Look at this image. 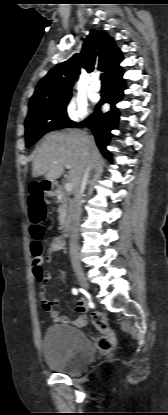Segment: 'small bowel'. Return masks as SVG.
I'll list each match as a JSON object with an SVG mask.
<instances>
[{"instance_id":"small-bowel-1","label":"small bowel","mask_w":168,"mask_h":415,"mask_svg":"<svg viewBox=\"0 0 168 415\" xmlns=\"http://www.w3.org/2000/svg\"><path fill=\"white\" fill-rule=\"evenodd\" d=\"M64 245L65 241L62 237H53L47 247L46 258L50 259L54 253L61 251L64 248ZM40 298L44 311L48 312L55 322L62 324H71L75 327H83L86 325L87 303L85 300L82 299L77 303L76 310L80 313V315L73 320H69L67 317L61 315L58 310L54 309V306H56L59 303L58 299L49 300L46 296L44 289H42L40 292Z\"/></svg>"}]
</instances>
